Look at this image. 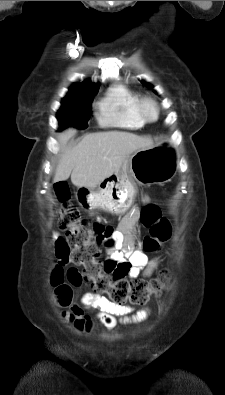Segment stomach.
Instances as JSON below:
<instances>
[{
  "mask_svg": "<svg viewBox=\"0 0 225 395\" xmlns=\"http://www.w3.org/2000/svg\"><path fill=\"white\" fill-rule=\"evenodd\" d=\"M175 174V160L163 148L153 146L132 153L120 172L104 179L96 190L81 187L77 200L84 208L113 214L125 213L132 205L136 186L166 183Z\"/></svg>",
  "mask_w": 225,
  "mask_h": 395,
  "instance_id": "1",
  "label": "stomach"
}]
</instances>
